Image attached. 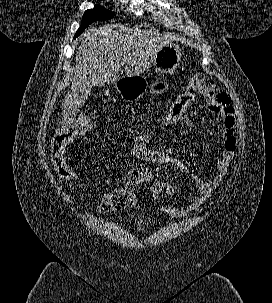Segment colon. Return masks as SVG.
<instances>
[{"mask_svg":"<svg viewBox=\"0 0 272 303\" xmlns=\"http://www.w3.org/2000/svg\"><path fill=\"white\" fill-rule=\"evenodd\" d=\"M204 75L196 73L188 85L180 92L169 107L165 110L160 123L153 129L140 132L130 137L126 146L133 149L153 148L162 135L186 130L189 128L188 111L196 94L200 93ZM93 128L88 117H77L69 121L62 129L57 131L51 142V163L58 174L64 180H76L78 173L67 163L65 152L68 144L74 139L81 137ZM165 182L156 181L152 187V193L161 191ZM135 197L121 190H116L103 195L99 203V210L103 213L126 209L135 204Z\"/></svg>","mask_w":272,"mask_h":303,"instance_id":"5ec220e1","label":"colon"}]
</instances>
